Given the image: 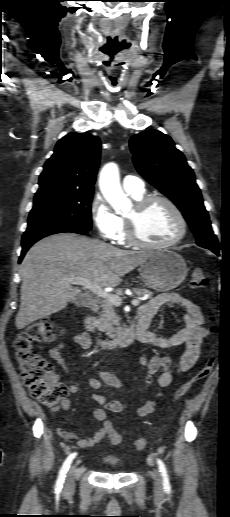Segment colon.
I'll list each match as a JSON object with an SVG mask.
<instances>
[{"instance_id": "5ec220e1", "label": "colon", "mask_w": 230, "mask_h": 517, "mask_svg": "<svg viewBox=\"0 0 230 517\" xmlns=\"http://www.w3.org/2000/svg\"><path fill=\"white\" fill-rule=\"evenodd\" d=\"M208 279L201 268L196 269L191 277L190 284L195 289L204 288ZM211 321L214 320L211 318ZM211 331L216 333L218 327L213 323ZM54 338L53 323L49 318L39 319L27 325L14 341V360L19 368L25 386L31 395L47 407H55L68 393L65 384L59 381L53 365L33 351L36 342H49ZM215 355L209 356L205 364L199 368L187 381H185L174 393L173 402L182 398L191 387L206 378L215 365ZM109 439L117 443L120 437L109 425ZM134 447L143 450L146 440L138 437L134 440Z\"/></svg>"}]
</instances>
